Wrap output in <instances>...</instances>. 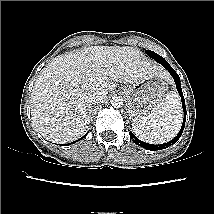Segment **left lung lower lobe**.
<instances>
[{
    "label": "left lung lower lobe",
    "instance_id": "0a47b994",
    "mask_svg": "<svg viewBox=\"0 0 214 214\" xmlns=\"http://www.w3.org/2000/svg\"><path fill=\"white\" fill-rule=\"evenodd\" d=\"M162 65L169 71V73L172 75V77L175 81L176 88H177L179 95L181 97V100H182V106H183V111H184V119H183L182 127H181L179 133L177 134V136L174 139H172L171 141L164 143V144H160V145H153V144L145 143V142L139 140L138 138H136L130 132V136L132 138V141L135 144H137V145H139V146H141L147 150H152V151L162 150V149L168 148L169 146L174 144L181 137L183 130H184V127H185V121H186V106H185V100H184V96H183L182 89H181L180 77L175 72V70L168 64L167 61L163 62Z\"/></svg>",
    "mask_w": 214,
    "mask_h": 214
}]
</instances>
